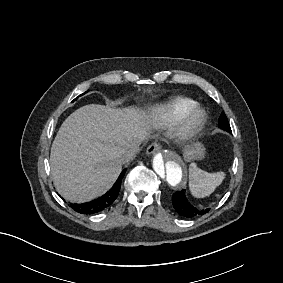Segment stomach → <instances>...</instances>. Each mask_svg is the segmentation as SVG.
I'll return each mask as SVG.
<instances>
[{"instance_id":"1","label":"stomach","mask_w":283,"mask_h":283,"mask_svg":"<svg viewBox=\"0 0 283 283\" xmlns=\"http://www.w3.org/2000/svg\"><path fill=\"white\" fill-rule=\"evenodd\" d=\"M204 148L201 144L188 145L184 151V157L186 160H191L193 158H201L203 156Z\"/></svg>"}]
</instances>
